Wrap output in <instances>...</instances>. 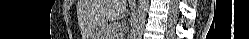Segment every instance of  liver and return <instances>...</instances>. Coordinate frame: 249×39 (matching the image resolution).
Returning a JSON list of instances; mask_svg holds the SVG:
<instances>
[{
  "mask_svg": "<svg viewBox=\"0 0 249 39\" xmlns=\"http://www.w3.org/2000/svg\"><path fill=\"white\" fill-rule=\"evenodd\" d=\"M126 5V0H80L79 16L85 39L92 36L96 28L103 27L108 21L123 18Z\"/></svg>",
  "mask_w": 249,
  "mask_h": 39,
  "instance_id": "liver-1",
  "label": "liver"
}]
</instances>
